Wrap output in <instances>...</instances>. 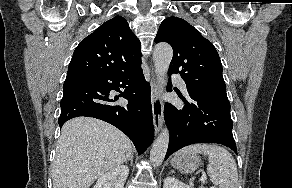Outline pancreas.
<instances>
[{
  "instance_id": "cf45deb5",
  "label": "pancreas",
  "mask_w": 292,
  "mask_h": 188,
  "mask_svg": "<svg viewBox=\"0 0 292 188\" xmlns=\"http://www.w3.org/2000/svg\"><path fill=\"white\" fill-rule=\"evenodd\" d=\"M200 188H206V187H204V186H201Z\"/></svg>"
}]
</instances>
